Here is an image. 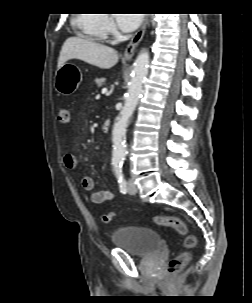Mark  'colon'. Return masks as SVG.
Wrapping results in <instances>:
<instances>
[{
    "label": "colon",
    "instance_id": "1",
    "mask_svg": "<svg viewBox=\"0 0 252 303\" xmlns=\"http://www.w3.org/2000/svg\"><path fill=\"white\" fill-rule=\"evenodd\" d=\"M59 120L61 123L70 122V110L67 106H61L59 108ZM114 217V213H106L102 215V221L109 223ZM154 223L160 226L173 227L178 233L184 235V249L180 251L174 258H172L168 264L167 273L170 277L178 275L186 264L190 261L191 252L197 246V238L194 235H188L186 224L178 217L172 215H156L153 218Z\"/></svg>",
    "mask_w": 252,
    "mask_h": 303
}]
</instances>
